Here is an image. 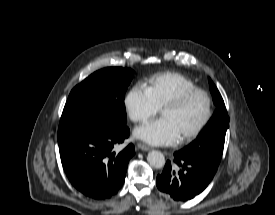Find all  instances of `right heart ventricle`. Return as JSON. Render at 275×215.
Wrapping results in <instances>:
<instances>
[{"label": "right heart ventricle", "mask_w": 275, "mask_h": 215, "mask_svg": "<svg viewBox=\"0 0 275 215\" xmlns=\"http://www.w3.org/2000/svg\"><path fill=\"white\" fill-rule=\"evenodd\" d=\"M196 87L187 76L178 72H162L151 76L145 88L158 108L180 92Z\"/></svg>", "instance_id": "1"}]
</instances>
